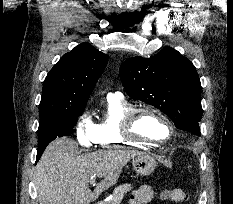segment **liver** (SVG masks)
I'll return each mask as SVG.
<instances>
[{
    "label": "liver",
    "mask_w": 233,
    "mask_h": 204,
    "mask_svg": "<svg viewBox=\"0 0 233 204\" xmlns=\"http://www.w3.org/2000/svg\"><path fill=\"white\" fill-rule=\"evenodd\" d=\"M135 150H100L77 154V143L56 138L45 149L35 169L39 204H90L117 183L122 168L139 155ZM104 178L94 191L91 179Z\"/></svg>",
    "instance_id": "liver-1"
}]
</instances>
